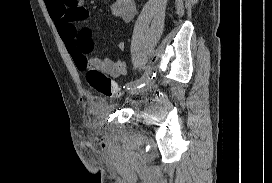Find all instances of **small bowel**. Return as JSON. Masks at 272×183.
<instances>
[{
  "label": "small bowel",
  "instance_id": "obj_1",
  "mask_svg": "<svg viewBox=\"0 0 272 183\" xmlns=\"http://www.w3.org/2000/svg\"><path fill=\"white\" fill-rule=\"evenodd\" d=\"M45 4L78 70L94 68L114 78L126 74V64L121 60L88 57L93 50L94 40L88 26L91 14L84 0H45ZM112 13L126 22L131 21L136 14L135 0H115ZM118 47L124 50L125 43L119 42Z\"/></svg>",
  "mask_w": 272,
  "mask_h": 183
}]
</instances>
